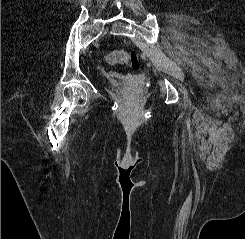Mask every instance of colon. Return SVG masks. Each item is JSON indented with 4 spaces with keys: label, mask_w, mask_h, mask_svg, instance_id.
I'll return each mask as SVG.
<instances>
[{
    "label": "colon",
    "mask_w": 245,
    "mask_h": 239,
    "mask_svg": "<svg viewBox=\"0 0 245 239\" xmlns=\"http://www.w3.org/2000/svg\"><path fill=\"white\" fill-rule=\"evenodd\" d=\"M109 64H127L129 63L134 69L140 67V61L135 51L117 50L106 56Z\"/></svg>",
    "instance_id": "5ec220e1"
}]
</instances>
